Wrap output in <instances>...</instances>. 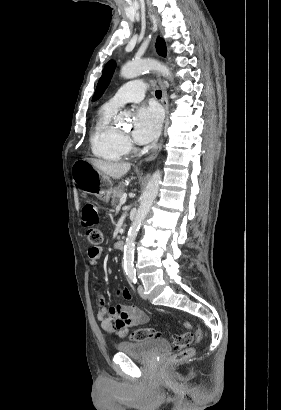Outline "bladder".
Here are the masks:
<instances>
[{
	"label": "bladder",
	"instance_id": "31cf9c89",
	"mask_svg": "<svg viewBox=\"0 0 281 410\" xmlns=\"http://www.w3.org/2000/svg\"><path fill=\"white\" fill-rule=\"evenodd\" d=\"M119 353L130 357L148 359L170 350V344L163 339H147L139 342H121L116 345Z\"/></svg>",
	"mask_w": 281,
	"mask_h": 410
}]
</instances>
